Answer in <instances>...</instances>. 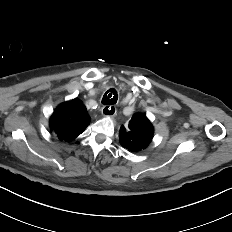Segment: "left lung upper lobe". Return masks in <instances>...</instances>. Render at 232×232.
Here are the masks:
<instances>
[{
	"label": "left lung upper lobe",
	"mask_w": 232,
	"mask_h": 232,
	"mask_svg": "<svg viewBox=\"0 0 232 232\" xmlns=\"http://www.w3.org/2000/svg\"><path fill=\"white\" fill-rule=\"evenodd\" d=\"M154 129L144 114H134L129 122L128 129L120 128L119 141L122 147L131 152L144 150L152 141Z\"/></svg>",
	"instance_id": "1"
}]
</instances>
